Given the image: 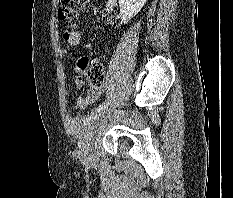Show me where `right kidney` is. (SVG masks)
<instances>
[{
  "label": "right kidney",
  "mask_w": 233,
  "mask_h": 198,
  "mask_svg": "<svg viewBox=\"0 0 233 198\" xmlns=\"http://www.w3.org/2000/svg\"><path fill=\"white\" fill-rule=\"evenodd\" d=\"M147 0H119L121 24H126L137 15Z\"/></svg>",
  "instance_id": "ca27d5eb"
}]
</instances>
